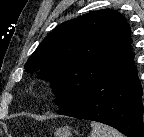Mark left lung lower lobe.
I'll return each mask as SVG.
<instances>
[{
  "mask_svg": "<svg viewBox=\"0 0 144 137\" xmlns=\"http://www.w3.org/2000/svg\"><path fill=\"white\" fill-rule=\"evenodd\" d=\"M142 87L134 54L102 78L90 91L58 114L110 125L128 137H144Z\"/></svg>",
  "mask_w": 144,
  "mask_h": 137,
  "instance_id": "left-lung-lower-lobe-1",
  "label": "left lung lower lobe"
}]
</instances>
